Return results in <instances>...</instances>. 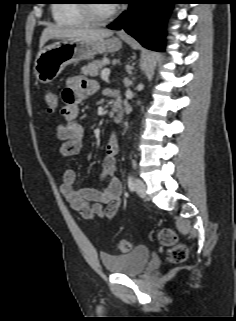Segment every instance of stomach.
<instances>
[{"label":"stomach","mask_w":236,"mask_h":321,"mask_svg":"<svg viewBox=\"0 0 236 321\" xmlns=\"http://www.w3.org/2000/svg\"><path fill=\"white\" fill-rule=\"evenodd\" d=\"M122 46L118 38L96 41L63 39L42 48L36 56L34 74L41 83L55 80L67 65L90 59L96 54L116 52Z\"/></svg>","instance_id":"stomach-1"}]
</instances>
